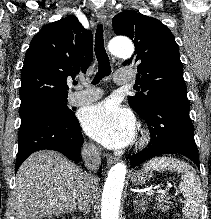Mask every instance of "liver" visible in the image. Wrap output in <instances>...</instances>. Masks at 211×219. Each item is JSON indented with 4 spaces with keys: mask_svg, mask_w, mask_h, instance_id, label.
Wrapping results in <instances>:
<instances>
[{
    "mask_svg": "<svg viewBox=\"0 0 211 219\" xmlns=\"http://www.w3.org/2000/svg\"><path fill=\"white\" fill-rule=\"evenodd\" d=\"M85 176L79 166L58 152L43 150L33 153L16 174L15 219H37L73 212L85 187ZM96 194L95 187L94 198Z\"/></svg>",
    "mask_w": 211,
    "mask_h": 219,
    "instance_id": "1",
    "label": "liver"
}]
</instances>
